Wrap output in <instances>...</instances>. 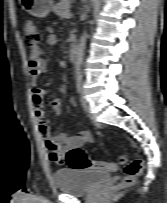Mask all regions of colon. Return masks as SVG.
<instances>
[{
	"label": "colon",
	"mask_w": 167,
	"mask_h": 203,
	"mask_svg": "<svg viewBox=\"0 0 167 203\" xmlns=\"http://www.w3.org/2000/svg\"><path fill=\"white\" fill-rule=\"evenodd\" d=\"M23 31L25 45L31 50V61L37 62L41 53V49L38 46L41 39L38 26L34 21L27 20L24 22ZM120 161L124 163L125 159L121 158ZM66 163L71 169L75 170H101L106 167V163L90 160L85 151L80 147H74L67 152ZM142 171L143 161L141 159H134L126 163L124 166V176L122 180L117 185L111 186L108 191L110 193H114L132 186L136 177L139 176Z\"/></svg>",
	"instance_id": "colon-1"
}]
</instances>
